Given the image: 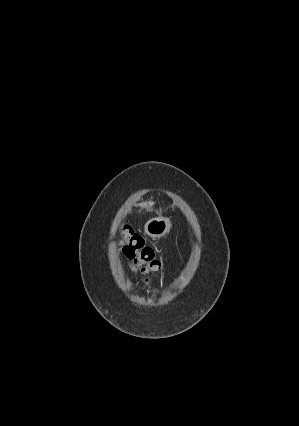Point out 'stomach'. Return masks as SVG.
Segmentation results:
<instances>
[{
	"instance_id": "0dacf381",
	"label": "stomach",
	"mask_w": 299,
	"mask_h": 426,
	"mask_svg": "<svg viewBox=\"0 0 299 426\" xmlns=\"http://www.w3.org/2000/svg\"><path fill=\"white\" fill-rule=\"evenodd\" d=\"M172 227L170 218L157 216L150 218L144 225V233L153 239H159L167 234Z\"/></svg>"
}]
</instances>
